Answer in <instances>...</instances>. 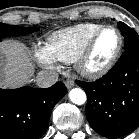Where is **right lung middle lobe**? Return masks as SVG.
I'll list each match as a JSON object with an SVG mask.
<instances>
[{
  "label": "right lung middle lobe",
  "mask_w": 139,
  "mask_h": 139,
  "mask_svg": "<svg viewBox=\"0 0 139 139\" xmlns=\"http://www.w3.org/2000/svg\"><path fill=\"white\" fill-rule=\"evenodd\" d=\"M37 27H19L16 25H7L0 23V39L7 36H20L27 35L37 31Z\"/></svg>",
  "instance_id": "1"
}]
</instances>
